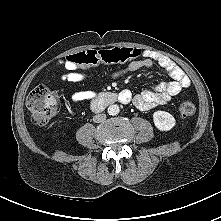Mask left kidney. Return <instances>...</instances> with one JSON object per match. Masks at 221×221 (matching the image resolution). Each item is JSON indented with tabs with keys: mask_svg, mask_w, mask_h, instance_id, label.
Here are the masks:
<instances>
[{
	"mask_svg": "<svg viewBox=\"0 0 221 221\" xmlns=\"http://www.w3.org/2000/svg\"><path fill=\"white\" fill-rule=\"evenodd\" d=\"M153 121L160 131H169L176 124L175 118L170 113L161 110L154 112Z\"/></svg>",
	"mask_w": 221,
	"mask_h": 221,
	"instance_id": "1",
	"label": "left kidney"
}]
</instances>
